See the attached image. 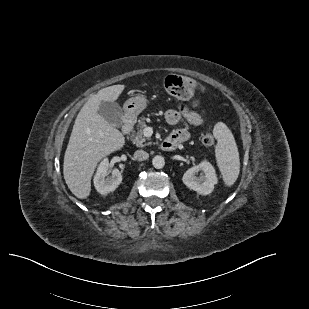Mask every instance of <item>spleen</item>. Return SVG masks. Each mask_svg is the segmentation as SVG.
I'll return each mask as SVG.
<instances>
[{"instance_id":"spleen-1","label":"spleen","mask_w":309,"mask_h":309,"mask_svg":"<svg viewBox=\"0 0 309 309\" xmlns=\"http://www.w3.org/2000/svg\"><path fill=\"white\" fill-rule=\"evenodd\" d=\"M214 137L217 140L215 149L216 161L226 186H232L240 172L239 152L229 128L218 122L213 129Z\"/></svg>"}]
</instances>
